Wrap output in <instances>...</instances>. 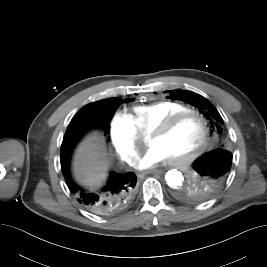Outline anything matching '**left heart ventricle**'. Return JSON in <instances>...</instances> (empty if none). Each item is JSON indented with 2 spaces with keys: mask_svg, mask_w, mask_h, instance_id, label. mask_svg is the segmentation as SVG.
I'll return each mask as SVG.
<instances>
[{
  "mask_svg": "<svg viewBox=\"0 0 267 267\" xmlns=\"http://www.w3.org/2000/svg\"><path fill=\"white\" fill-rule=\"evenodd\" d=\"M202 124L195 116H187L164 135L151 136L150 144L160 147L169 159L192 153L202 138Z\"/></svg>",
  "mask_w": 267,
  "mask_h": 267,
  "instance_id": "b2bd125f",
  "label": "left heart ventricle"
}]
</instances>
